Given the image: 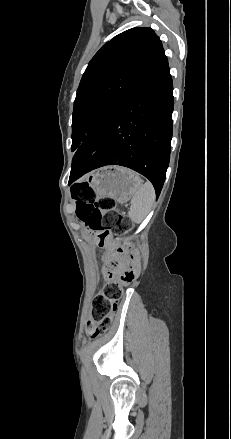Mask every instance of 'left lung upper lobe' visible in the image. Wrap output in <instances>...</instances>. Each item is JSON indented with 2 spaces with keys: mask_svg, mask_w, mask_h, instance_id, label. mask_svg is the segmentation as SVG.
<instances>
[{
  "mask_svg": "<svg viewBox=\"0 0 231 439\" xmlns=\"http://www.w3.org/2000/svg\"><path fill=\"white\" fill-rule=\"evenodd\" d=\"M166 58L161 40L151 28L129 29L104 44L89 62L77 90L72 151Z\"/></svg>",
  "mask_w": 231,
  "mask_h": 439,
  "instance_id": "obj_1",
  "label": "left lung upper lobe"
}]
</instances>
